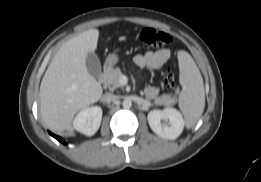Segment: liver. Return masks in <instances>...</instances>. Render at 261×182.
<instances>
[{
	"instance_id": "obj_1",
	"label": "liver",
	"mask_w": 261,
	"mask_h": 182,
	"mask_svg": "<svg viewBox=\"0 0 261 182\" xmlns=\"http://www.w3.org/2000/svg\"><path fill=\"white\" fill-rule=\"evenodd\" d=\"M98 29H89L65 42L49 64L40 85V111L54 132L72 131L74 115L97 102L101 85L86 67V57L97 49Z\"/></svg>"
}]
</instances>
